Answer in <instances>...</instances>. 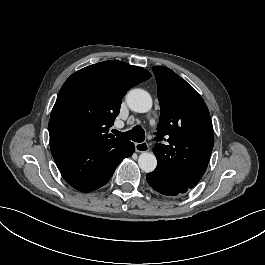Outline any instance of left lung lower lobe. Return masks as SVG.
I'll list each match as a JSON object with an SVG mask.
<instances>
[{
  "mask_svg": "<svg viewBox=\"0 0 265 265\" xmlns=\"http://www.w3.org/2000/svg\"><path fill=\"white\" fill-rule=\"evenodd\" d=\"M147 182L155 191L167 196L183 194L191 189L178 179L158 168L147 174Z\"/></svg>",
  "mask_w": 265,
  "mask_h": 265,
  "instance_id": "1",
  "label": "left lung lower lobe"
}]
</instances>
